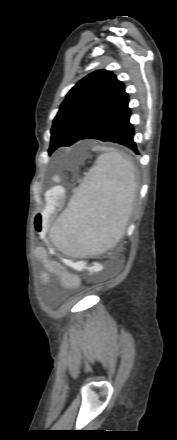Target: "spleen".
Masks as SVG:
<instances>
[{
    "instance_id": "spleen-1",
    "label": "spleen",
    "mask_w": 177,
    "mask_h": 440,
    "mask_svg": "<svg viewBox=\"0 0 177 440\" xmlns=\"http://www.w3.org/2000/svg\"><path fill=\"white\" fill-rule=\"evenodd\" d=\"M135 189L132 162L119 153L102 154L51 228L52 243L75 257L114 247L124 234Z\"/></svg>"
}]
</instances>
